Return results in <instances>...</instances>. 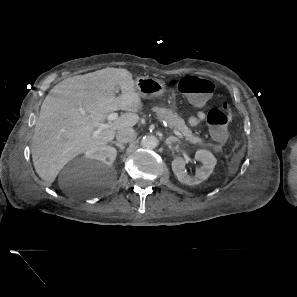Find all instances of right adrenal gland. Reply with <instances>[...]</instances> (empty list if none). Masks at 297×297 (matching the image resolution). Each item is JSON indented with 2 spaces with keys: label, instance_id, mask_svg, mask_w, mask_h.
<instances>
[{
  "label": "right adrenal gland",
  "instance_id": "obj_1",
  "mask_svg": "<svg viewBox=\"0 0 297 297\" xmlns=\"http://www.w3.org/2000/svg\"><path fill=\"white\" fill-rule=\"evenodd\" d=\"M111 144H115L119 148V151H123L125 149V146L119 142L111 141Z\"/></svg>",
  "mask_w": 297,
  "mask_h": 297
}]
</instances>
